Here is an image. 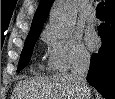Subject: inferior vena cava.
<instances>
[{"instance_id": "inferior-vena-cava-1", "label": "inferior vena cava", "mask_w": 115, "mask_h": 99, "mask_svg": "<svg viewBox=\"0 0 115 99\" xmlns=\"http://www.w3.org/2000/svg\"><path fill=\"white\" fill-rule=\"evenodd\" d=\"M90 65V55L88 53H79L73 60L71 77L79 88L82 99H87L90 96V90L86 86V76Z\"/></svg>"}]
</instances>
